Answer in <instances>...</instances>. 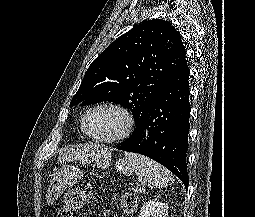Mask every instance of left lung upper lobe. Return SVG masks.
<instances>
[{"instance_id":"5c2ea615","label":"left lung upper lobe","mask_w":255,"mask_h":217,"mask_svg":"<svg viewBox=\"0 0 255 217\" xmlns=\"http://www.w3.org/2000/svg\"><path fill=\"white\" fill-rule=\"evenodd\" d=\"M185 60L181 36L168 21L143 22L91 63L70 107L110 101L130 109L137 125L154 96Z\"/></svg>"}]
</instances>
